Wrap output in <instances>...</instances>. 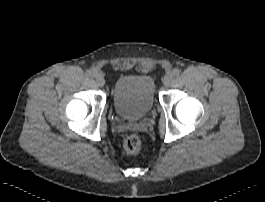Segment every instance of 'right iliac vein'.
<instances>
[{"label":"right iliac vein","instance_id":"obj_1","mask_svg":"<svg viewBox=\"0 0 265 202\" xmlns=\"http://www.w3.org/2000/svg\"><path fill=\"white\" fill-rule=\"evenodd\" d=\"M95 82L99 87H103L105 85V79L100 73H96L94 75Z\"/></svg>","mask_w":265,"mask_h":202}]
</instances>
